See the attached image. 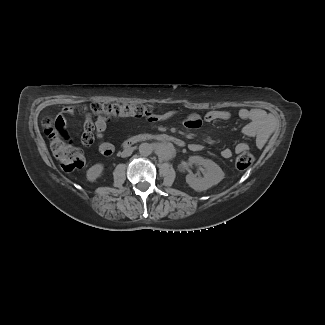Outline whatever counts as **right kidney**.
Masks as SVG:
<instances>
[{
  "mask_svg": "<svg viewBox=\"0 0 325 325\" xmlns=\"http://www.w3.org/2000/svg\"><path fill=\"white\" fill-rule=\"evenodd\" d=\"M104 170V166L101 163L93 165L91 168L87 170L86 177L88 181H95L99 178Z\"/></svg>",
  "mask_w": 325,
  "mask_h": 325,
  "instance_id": "right-kidney-1",
  "label": "right kidney"
}]
</instances>
